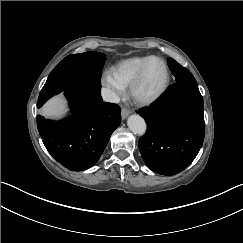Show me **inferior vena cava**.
Segmentation results:
<instances>
[{
  "mask_svg": "<svg viewBox=\"0 0 243 243\" xmlns=\"http://www.w3.org/2000/svg\"><path fill=\"white\" fill-rule=\"evenodd\" d=\"M101 95L104 101L118 104L120 102V99L117 97V95L108 88H102Z\"/></svg>",
  "mask_w": 243,
  "mask_h": 243,
  "instance_id": "1",
  "label": "inferior vena cava"
}]
</instances>
